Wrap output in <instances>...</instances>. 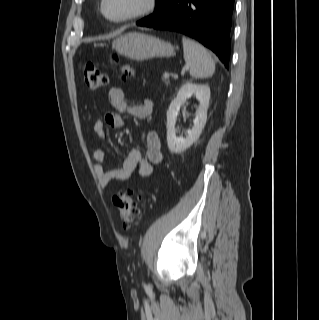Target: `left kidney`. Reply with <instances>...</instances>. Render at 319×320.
Segmentation results:
<instances>
[{
    "mask_svg": "<svg viewBox=\"0 0 319 320\" xmlns=\"http://www.w3.org/2000/svg\"><path fill=\"white\" fill-rule=\"evenodd\" d=\"M192 96H195L199 101L194 126L188 131L185 138L177 137L175 128L177 115L181 106ZM209 100L210 88L208 85L186 82L179 89L176 98L172 100L167 111V144L172 153L183 152L200 137L207 120Z\"/></svg>",
    "mask_w": 319,
    "mask_h": 320,
    "instance_id": "5707ae66",
    "label": "left kidney"
}]
</instances>
